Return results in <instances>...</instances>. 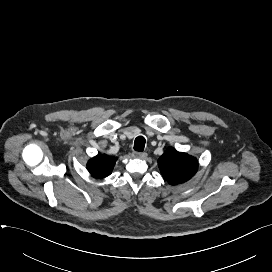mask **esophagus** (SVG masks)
Masks as SVG:
<instances>
[{"instance_id":"obj_1","label":"esophagus","mask_w":272,"mask_h":272,"mask_svg":"<svg viewBox=\"0 0 272 272\" xmlns=\"http://www.w3.org/2000/svg\"><path fill=\"white\" fill-rule=\"evenodd\" d=\"M133 155H134V157L140 158V159L147 158V153H145V152H134Z\"/></svg>"}]
</instances>
